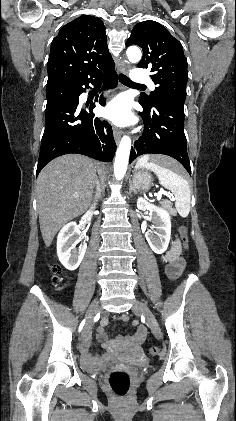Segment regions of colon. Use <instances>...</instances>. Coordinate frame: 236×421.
Returning a JSON list of instances; mask_svg holds the SVG:
<instances>
[{
  "instance_id": "obj_1",
  "label": "colon",
  "mask_w": 236,
  "mask_h": 421,
  "mask_svg": "<svg viewBox=\"0 0 236 421\" xmlns=\"http://www.w3.org/2000/svg\"><path fill=\"white\" fill-rule=\"evenodd\" d=\"M179 238L182 246L187 250L189 248L188 231L185 226L179 228ZM53 270V281L56 285L61 282L60 274L61 268L58 265L52 267ZM149 355L154 357L158 354L156 348L149 349ZM131 379L127 372L123 370H114L109 376V384L112 390L119 396H124L130 388Z\"/></svg>"
}]
</instances>
